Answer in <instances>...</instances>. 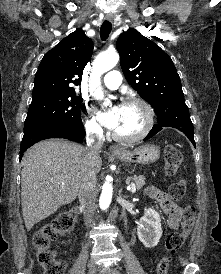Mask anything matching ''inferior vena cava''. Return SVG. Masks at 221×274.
Wrapping results in <instances>:
<instances>
[{
  "label": "inferior vena cava",
  "instance_id": "1",
  "mask_svg": "<svg viewBox=\"0 0 221 274\" xmlns=\"http://www.w3.org/2000/svg\"><path fill=\"white\" fill-rule=\"evenodd\" d=\"M103 145L102 130L94 125L87 130V148L85 156L86 170L83 182L78 192L80 205L83 209L84 221L87 226L92 223L96 204V173L94 170L95 160L99 157Z\"/></svg>",
  "mask_w": 221,
  "mask_h": 274
}]
</instances>
